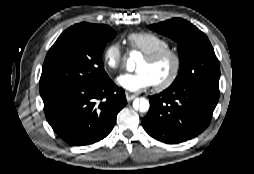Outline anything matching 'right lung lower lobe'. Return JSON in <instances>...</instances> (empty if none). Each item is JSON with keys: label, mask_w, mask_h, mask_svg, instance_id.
<instances>
[{"label": "right lung lower lobe", "mask_w": 254, "mask_h": 174, "mask_svg": "<svg viewBox=\"0 0 254 174\" xmlns=\"http://www.w3.org/2000/svg\"><path fill=\"white\" fill-rule=\"evenodd\" d=\"M41 97L50 126L74 146L105 138L113 129L118 112L127 104L125 92L109 77L96 85L59 88Z\"/></svg>", "instance_id": "1"}]
</instances>
